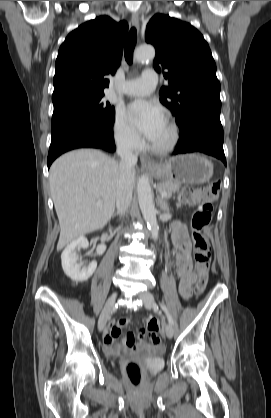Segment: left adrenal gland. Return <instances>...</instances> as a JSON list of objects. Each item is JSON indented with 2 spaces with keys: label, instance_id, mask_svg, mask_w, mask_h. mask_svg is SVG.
<instances>
[{
  "label": "left adrenal gland",
  "instance_id": "left-adrenal-gland-1",
  "mask_svg": "<svg viewBox=\"0 0 271 418\" xmlns=\"http://www.w3.org/2000/svg\"><path fill=\"white\" fill-rule=\"evenodd\" d=\"M157 204L163 211L169 212L168 203L165 200H163L159 195L157 196Z\"/></svg>",
  "mask_w": 271,
  "mask_h": 418
}]
</instances>
